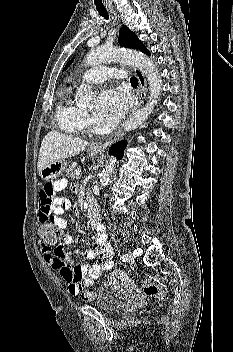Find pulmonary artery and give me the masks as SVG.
I'll return each instance as SVG.
<instances>
[{"label": "pulmonary artery", "instance_id": "1", "mask_svg": "<svg viewBox=\"0 0 233 352\" xmlns=\"http://www.w3.org/2000/svg\"><path fill=\"white\" fill-rule=\"evenodd\" d=\"M125 72L106 66H96L87 70L81 80L88 83H100L111 78H124Z\"/></svg>", "mask_w": 233, "mask_h": 352}]
</instances>
